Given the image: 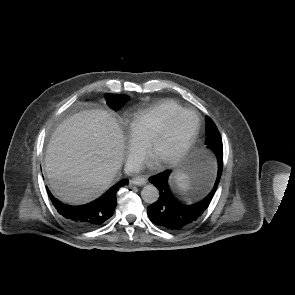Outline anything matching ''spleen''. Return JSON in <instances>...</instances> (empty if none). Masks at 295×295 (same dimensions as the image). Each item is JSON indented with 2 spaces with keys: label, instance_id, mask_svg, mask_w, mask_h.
<instances>
[{
  "label": "spleen",
  "instance_id": "spleen-1",
  "mask_svg": "<svg viewBox=\"0 0 295 295\" xmlns=\"http://www.w3.org/2000/svg\"><path fill=\"white\" fill-rule=\"evenodd\" d=\"M175 182H176L178 189L183 193H186L191 189L190 176L187 174H184L182 172H178L175 175Z\"/></svg>",
  "mask_w": 295,
  "mask_h": 295
}]
</instances>
